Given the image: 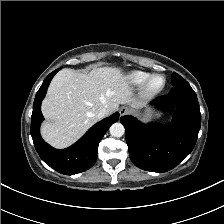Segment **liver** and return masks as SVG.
<instances>
[{"label":"liver","instance_id":"1","mask_svg":"<svg viewBox=\"0 0 224 224\" xmlns=\"http://www.w3.org/2000/svg\"><path fill=\"white\" fill-rule=\"evenodd\" d=\"M120 104L140 105L120 68L101 67L89 73L63 69L53 78L42 103V113L49 120L41 127L42 137L64 148L99 120L97 113L102 108L110 115Z\"/></svg>","mask_w":224,"mask_h":224}]
</instances>
